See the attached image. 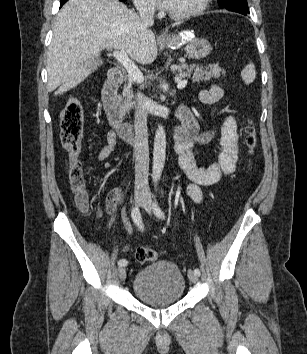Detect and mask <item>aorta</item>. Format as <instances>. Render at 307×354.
<instances>
[{
    "mask_svg": "<svg viewBox=\"0 0 307 354\" xmlns=\"http://www.w3.org/2000/svg\"><path fill=\"white\" fill-rule=\"evenodd\" d=\"M166 156V134L164 127L159 125L154 137L152 178L154 182L160 179Z\"/></svg>",
    "mask_w": 307,
    "mask_h": 354,
    "instance_id": "762f6f07",
    "label": "aorta"
}]
</instances>
